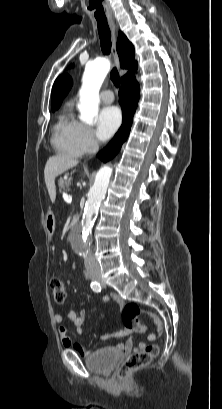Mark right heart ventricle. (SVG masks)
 Returning <instances> with one entry per match:
<instances>
[{"instance_id":"right-heart-ventricle-1","label":"right heart ventricle","mask_w":222,"mask_h":409,"mask_svg":"<svg viewBox=\"0 0 222 409\" xmlns=\"http://www.w3.org/2000/svg\"><path fill=\"white\" fill-rule=\"evenodd\" d=\"M53 145L65 156L80 157L84 149L79 140V123L69 109L63 111L53 129Z\"/></svg>"}]
</instances>
